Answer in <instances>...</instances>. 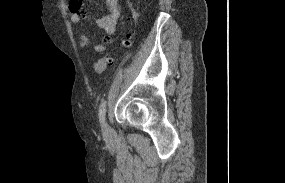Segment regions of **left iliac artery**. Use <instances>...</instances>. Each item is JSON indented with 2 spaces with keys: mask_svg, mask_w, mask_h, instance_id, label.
I'll use <instances>...</instances> for the list:
<instances>
[{
  "mask_svg": "<svg viewBox=\"0 0 285 183\" xmlns=\"http://www.w3.org/2000/svg\"><path fill=\"white\" fill-rule=\"evenodd\" d=\"M107 101L103 100L99 106V120L101 123L105 121Z\"/></svg>",
  "mask_w": 285,
  "mask_h": 183,
  "instance_id": "left-iliac-artery-1",
  "label": "left iliac artery"
}]
</instances>
